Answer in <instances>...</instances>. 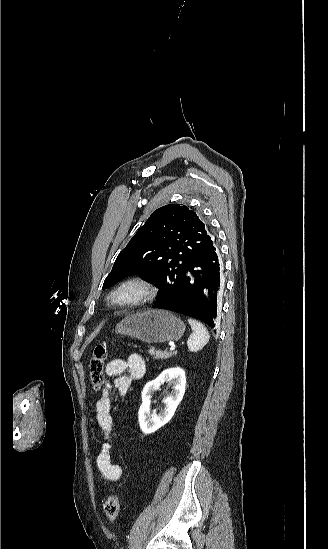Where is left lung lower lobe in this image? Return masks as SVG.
<instances>
[{"instance_id":"left-lung-lower-lobe-1","label":"left lung lower lobe","mask_w":328,"mask_h":549,"mask_svg":"<svg viewBox=\"0 0 328 549\" xmlns=\"http://www.w3.org/2000/svg\"><path fill=\"white\" fill-rule=\"evenodd\" d=\"M220 275L219 252L212 243L196 255L172 292L156 300L153 308L200 319L213 328L218 318V300L222 291Z\"/></svg>"}]
</instances>
